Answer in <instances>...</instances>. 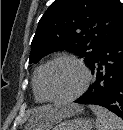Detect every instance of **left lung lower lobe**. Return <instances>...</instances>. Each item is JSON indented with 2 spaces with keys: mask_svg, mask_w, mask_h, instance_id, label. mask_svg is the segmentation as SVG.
<instances>
[{
  "mask_svg": "<svg viewBox=\"0 0 123 130\" xmlns=\"http://www.w3.org/2000/svg\"><path fill=\"white\" fill-rule=\"evenodd\" d=\"M90 68L94 82L76 103L100 105L123 118V22Z\"/></svg>",
  "mask_w": 123,
  "mask_h": 130,
  "instance_id": "left-lung-lower-lobe-1",
  "label": "left lung lower lobe"
}]
</instances>
